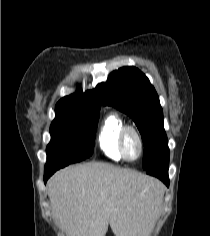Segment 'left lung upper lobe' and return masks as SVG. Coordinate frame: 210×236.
Wrapping results in <instances>:
<instances>
[{
	"instance_id": "left-lung-upper-lobe-1",
	"label": "left lung upper lobe",
	"mask_w": 210,
	"mask_h": 236,
	"mask_svg": "<svg viewBox=\"0 0 210 236\" xmlns=\"http://www.w3.org/2000/svg\"><path fill=\"white\" fill-rule=\"evenodd\" d=\"M102 93L104 105L126 113L137 125L144 144V170L169 153L159 97L139 69L122 67L112 72Z\"/></svg>"
}]
</instances>
